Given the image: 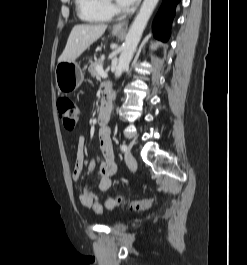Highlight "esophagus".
<instances>
[{
	"label": "esophagus",
	"instance_id": "esophagus-1",
	"mask_svg": "<svg viewBox=\"0 0 247 265\" xmlns=\"http://www.w3.org/2000/svg\"><path fill=\"white\" fill-rule=\"evenodd\" d=\"M127 28H128V21H120L113 26V31L124 33L126 32Z\"/></svg>",
	"mask_w": 247,
	"mask_h": 265
}]
</instances>
